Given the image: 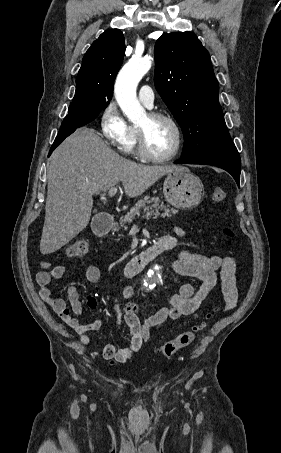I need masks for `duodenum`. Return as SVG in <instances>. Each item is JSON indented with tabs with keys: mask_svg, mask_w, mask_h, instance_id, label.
<instances>
[{
	"mask_svg": "<svg viewBox=\"0 0 281 453\" xmlns=\"http://www.w3.org/2000/svg\"><path fill=\"white\" fill-rule=\"evenodd\" d=\"M113 221L109 217H99L94 221L93 231L98 236L106 235L111 229ZM170 248L168 241L162 237L155 243L132 258L125 267V275L132 277L137 274L149 261L154 259L161 252Z\"/></svg>",
	"mask_w": 281,
	"mask_h": 453,
	"instance_id": "1",
	"label": "duodenum"
}]
</instances>
